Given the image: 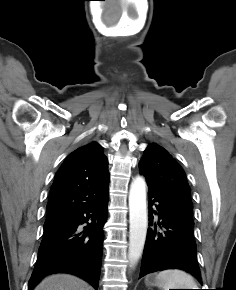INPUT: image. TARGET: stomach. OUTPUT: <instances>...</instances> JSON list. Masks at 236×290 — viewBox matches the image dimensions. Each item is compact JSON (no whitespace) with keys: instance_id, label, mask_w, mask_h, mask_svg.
Segmentation results:
<instances>
[{"instance_id":"stomach-1","label":"stomach","mask_w":236,"mask_h":290,"mask_svg":"<svg viewBox=\"0 0 236 290\" xmlns=\"http://www.w3.org/2000/svg\"><path fill=\"white\" fill-rule=\"evenodd\" d=\"M145 284L147 286H156L158 285L157 279L155 275H149L145 279Z\"/></svg>"}]
</instances>
